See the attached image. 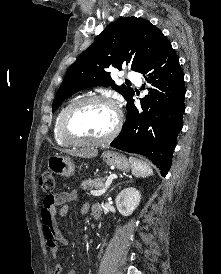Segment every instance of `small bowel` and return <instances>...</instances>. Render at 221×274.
<instances>
[{"label":"small bowel","instance_id":"1","mask_svg":"<svg viewBox=\"0 0 221 274\" xmlns=\"http://www.w3.org/2000/svg\"><path fill=\"white\" fill-rule=\"evenodd\" d=\"M76 197V193H59L49 195L44 199L41 208V221L43 232L46 239L47 247L52 256L57 259L59 247L68 244V239L62 234L58 227V216L64 217L68 212V202ZM88 205L82 207L81 213L85 214ZM62 273V265L56 261L54 266V274ZM67 274H77L75 270H70Z\"/></svg>","mask_w":221,"mask_h":274}]
</instances>
